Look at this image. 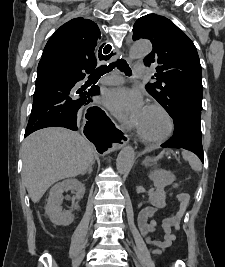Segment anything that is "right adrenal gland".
I'll return each instance as SVG.
<instances>
[{
	"label": "right adrenal gland",
	"instance_id": "obj_1",
	"mask_svg": "<svg viewBox=\"0 0 225 267\" xmlns=\"http://www.w3.org/2000/svg\"><path fill=\"white\" fill-rule=\"evenodd\" d=\"M94 163H95V160L93 161V163L91 164V166H89V168L87 169V171L83 173V175H85L86 173H88V174H91L92 173Z\"/></svg>",
	"mask_w": 225,
	"mask_h": 267
}]
</instances>
